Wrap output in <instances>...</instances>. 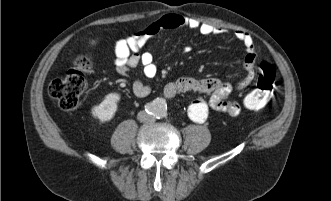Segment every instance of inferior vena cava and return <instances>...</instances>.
Masks as SVG:
<instances>
[{
	"mask_svg": "<svg viewBox=\"0 0 331 201\" xmlns=\"http://www.w3.org/2000/svg\"><path fill=\"white\" fill-rule=\"evenodd\" d=\"M137 118L140 122H152L154 117L148 114L146 111H140L137 115Z\"/></svg>",
	"mask_w": 331,
	"mask_h": 201,
	"instance_id": "obj_1",
	"label": "inferior vena cava"
}]
</instances>
